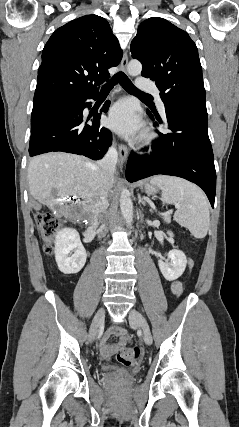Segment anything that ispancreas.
<instances>
[{"label":"pancreas","instance_id":"pancreas-1","mask_svg":"<svg viewBox=\"0 0 239 427\" xmlns=\"http://www.w3.org/2000/svg\"><path fill=\"white\" fill-rule=\"evenodd\" d=\"M163 220H164L166 223H170V222H171V216H170V215H165V216H163Z\"/></svg>","mask_w":239,"mask_h":427}]
</instances>
